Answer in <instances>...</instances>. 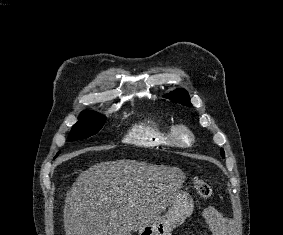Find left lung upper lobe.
Returning <instances> with one entry per match:
<instances>
[{"mask_svg":"<svg viewBox=\"0 0 283 235\" xmlns=\"http://www.w3.org/2000/svg\"><path fill=\"white\" fill-rule=\"evenodd\" d=\"M164 97L176 103H180L185 106H191L189 95L187 91L184 89H176L172 91L171 93H169L168 95H165ZM220 152H221L222 157L224 158L225 156L224 150L221 149Z\"/></svg>","mask_w":283,"mask_h":235,"instance_id":"1","label":"left lung upper lobe"}]
</instances>
